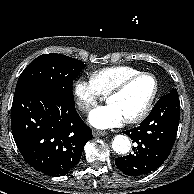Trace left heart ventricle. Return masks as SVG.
<instances>
[{"mask_svg": "<svg viewBox=\"0 0 194 194\" xmlns=\"http://www.w3.org/2000/svg\"><path fill=\"white\" fill-rule=\"evenodd\" d=\"M154 89V82L150 77H141L131 82L119 95L108 99L125 119L138 115L146 106Z\"/></svg>", "mask_w": 194, "mask_h": 194, "instance_id": "b2bd125f", "label": "left heart ventricle"}]
</instances>
